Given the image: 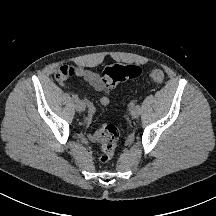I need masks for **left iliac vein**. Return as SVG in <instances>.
Segmentation results:
<instances>
[{
	"instance_id": "1",
	"label": "left iliac vein",
	"mask_w": 216,
	"mask_h": 216,
	"mask_svg": "<svg viewBox=\"0 0 216 216\" xmlns=\"http://www.w3.org/2000/svg\"><path fill=\"white\" fill-rule=\"evenodd\" d=\"M140 115V107L139 106H135L131 109V116L133 118H138Z\"/></svg>"
}]
</instances>
